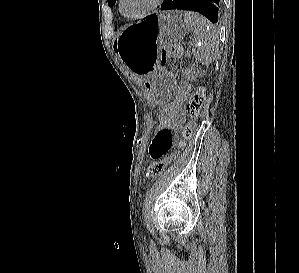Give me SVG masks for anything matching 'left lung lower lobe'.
<instances>
[{
	"instance_id": "0a47b994",
	"label": "left lung lower lobe",
	"mask_w": 299,
	"mask_h": 273,
	"mask_svg": "<svg viewBox=\"0 0 299 273\" xmlns=\"http://www.w3.org/2000/svg\"><path fill=\"white\" fill-rule=\"evenodd\" d=\"M171 9L196 11L216 23L220 16V0H165L161 10Z\"/></svg>"
}]
</instances>
